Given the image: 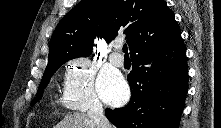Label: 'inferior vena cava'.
Wrapping results in <instances>:
<instances>
[{
	"label": "inferior vena cava",
	"mask_w": 221,
	"mask_h": 128,
	"mask_svg": "<svg viewBox=\"0 0 221 128\" xmlns=\"http://www.w3.org/2000/svg\"><path fill=\"white\" fill-rule=\"evenodd\" d=\"M89 118L97 128H111V125L103 113L102 104L99 101H92L88 111Z\"/></svg>",
	"instance_id": "obj_1"
}]
</instances>
